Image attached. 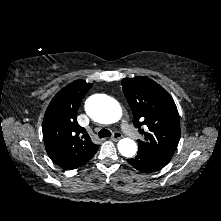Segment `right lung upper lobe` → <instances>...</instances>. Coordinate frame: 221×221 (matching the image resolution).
<instances>
[{
	"label": "right lung upper lobe",
	"instance_id": "obj_1",
	"mask_svg": "<svg viewBox=\"0 0 221 221\" xmlns=\"http://www.w3.org/2000/svg\"><path fill=\"white\" fill-rule=\"evenodd\" d=\"M91 87L84 80L67 85L53 97L44 115L42 130L47 154L66 170L82 166L99 148L77 122L79 106Z\"/></svg>",
	"mask_w": 221,
	"mask_h": 221
}]
</instances>
